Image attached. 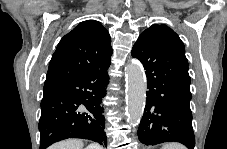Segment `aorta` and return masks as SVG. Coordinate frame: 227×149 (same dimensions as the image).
I'll use <instances>...</instances> for the list:
<instances>
[{"label":"aorta","instance_id":"obj_1","mask_svg":"<svg viewBox=\"0 0 227 149\" xmlns=\"http://www.w3.org/2000/svg\"><path fill=\"white\" fill-rule=\"evenodd\" d=\"M126 74V103L128 122L139 124L146 103V77L143 68L137 63H130L125 68Z\"/></svg>","mask_w":227,"mask_h":149}]
</instances>
